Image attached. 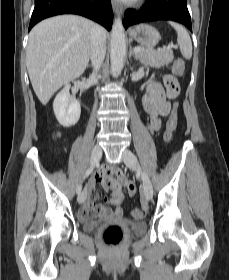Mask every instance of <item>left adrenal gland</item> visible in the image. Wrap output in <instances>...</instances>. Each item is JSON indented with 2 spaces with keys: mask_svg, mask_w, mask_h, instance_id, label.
<instances>
[{
  "mask_svg": "<svg viewBox=\"0 0 229 280\" xmlns=\"http://www.w3.org/2000/svg\"><path fill=\"white\" fill-rule=\"evenodd\" d=\"M132 56L135 57L134 52H133V50H132V47L130 46L129 59H130ZM135 58H136V57H135Z\"/></svg>",
  "mask_w": 229,
  "mask_h": 280,
  "instance_id": "left-adrenal-gland-1",
  "label": "left adrenal gland"
}]
</instances>
